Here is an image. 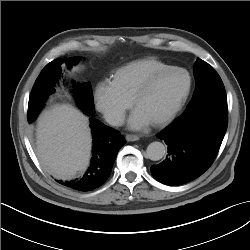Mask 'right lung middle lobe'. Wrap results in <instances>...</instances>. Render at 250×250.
Returning <instances> with one entry per match:
<instances>
[{
	"instance_id": "obj_1",
	"label": "right lung middle lobe",
	"mask_w": 250,
	"mask_h": 250,
	"mask_svg": "<svg viewBox=\"0 0 250 250\" xmlns=\"http://www.w3.org/2000/svg\"><path fill=\"white\" fill-rule=\"evenodd\" d=\"M80 60L81 57H74L65 60L57 59L45 66L36 79L29 97L27 113L28 122H32L36 118L44 106L46 99L49 97V95L55 92L56 83L58 82L62 73L61 66L65 64L68 68H70ZM72 92L80 108L86 114L93 115L95 110L91 84L73 83Z\"/></svg>"
}]
</instances>
